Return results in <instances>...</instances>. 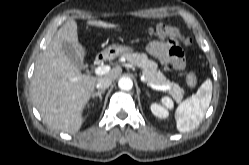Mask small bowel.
Wrapping results in <instances>:
<instances>
[{"instance_id":"obj_1","label":"small bowel","mask_w":249,"mask_h":165,"mask_svg":"<svg viewBox=\"0 0 249 165\" xmlns=\"http://www.w3.org/2000/svg\"><path fill=\"white\" fill-rule=\"evenodd\" d=\"M147 50L161 65L172 66L176 70H182L185 67L184 55L173 39L153 41L148 45Z\"/></svg>"}]
</instances>
